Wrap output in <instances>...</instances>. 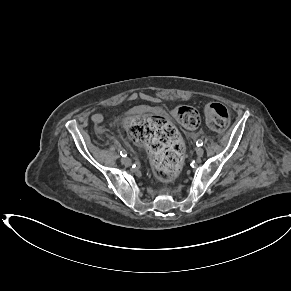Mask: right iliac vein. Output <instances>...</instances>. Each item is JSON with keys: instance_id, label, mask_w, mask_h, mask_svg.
<instances>
[{"instance_id": "right-iliac-vein-1", "label": "right iliac vein", "mask_w": 291, "mask_h": 291, "mask_svg": "<svg viewBox=\"0 0 291 291\" xmlns=\"http://www.w3.org/2000/svg\"><path fill=\"white\" fill-rule=\"evenodd\" d=\"M121 162H122L124 165H126V166H128V165L131 164V160H130V158H128V157H123V158L121 159Z\"/></svg>"}]
</instances>
